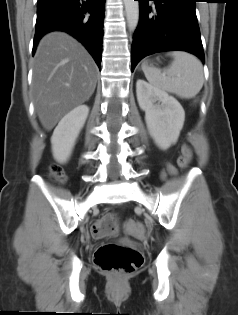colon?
Instances as JSON below:
<instances>
[{
	"mask_svg": "<svg viewBox=\"0 0 238 315\" xmlns=\"http://www.w3.org/2000/svg\"><path fill=\"white\" fill-rule=\"evenodd\" d=\"M192 159V150L185 147L179 157L178 164L181 168H186ZM51 175L58 181L64 180V172L58 165H52ZM126 230L137 236L144 235L142 224L135 221H128ZM92 233L97 239L109 238L117 235V217L113 213L105 215L97 221L92 228ZM143 254L137 249L123 245L106 243L98 247L94 254V263L102 271L113 274L117 277L126 276L135 272L143 264Z\"/></svg>",
	"mask_w": 238,
	"mask_h": 315,
	"instance_id": "colon-1",
	"label": "colon"
}]
</instances>
